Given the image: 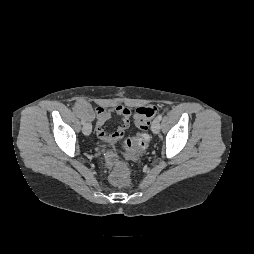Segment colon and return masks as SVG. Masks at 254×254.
<instances>
[{
	"label": "colon",
	"mask_w": 254,
	"mask_h": 254,
	"mask_svg": "<svg viewBox=\"0 0 254 254\" xmlns=\"http://www.w3.org/2000/svg\"><path fill=\"white\" fill-rule=\"evenodd\" d=\"M157 113L155 105H146L136 109L135 122L138 128V133L135 137L128 139L125 147L132 152H137L145 149L149 143L148 129ZM111 181L118 186H125L130 182L129 173L126 169L120 168L113 172Z\"/></svg>",
	"instance_id": "1"
}]
</instances>
